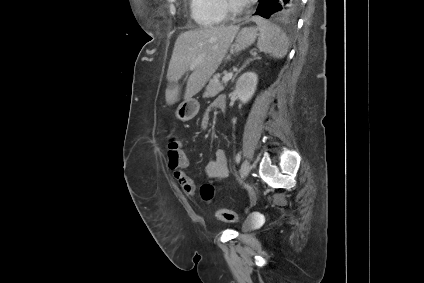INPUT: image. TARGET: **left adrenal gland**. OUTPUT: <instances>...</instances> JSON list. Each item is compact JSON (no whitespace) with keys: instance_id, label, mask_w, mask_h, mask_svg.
<instances>
[{"instance_id":"a2214340","label":"left adrenal gland","mask_w":424,"mask_h":283,"mask_svg":"<svg viewBox=\"0 0 424 283\" xmlns=\"http://www.w3.org/2000/svg\"><path fill=\"white\" fill-rule=\"evenodd\" d=\"M254 59H259V58H254ZM254 59H250L249 61H247L238 71H237V73L234 75V77L232 78V80H234L236 77H237V75L251 62V61H253Z\"/></svg>"}]
</instances>
